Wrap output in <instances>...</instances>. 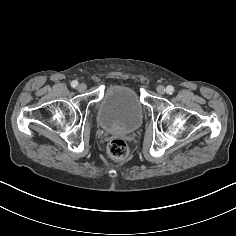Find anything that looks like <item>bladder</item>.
Segmentation results:
<instances>
[{"instance_id": "1", "label": "bladder", "mask_w": 236, "mask_h": 236, "mask_svg": "<svg viewBox=\"0 0 236 236\" xmlns=\"http://www.w3.org/2000/svg\"><path fill=\"white\" fill-rule=\"evenodd\" d=\"M143 119V109L136 91L124 84L106 87L100 103L97 123L110 131L131 132Z\"/></svg>"}]
</instances>
